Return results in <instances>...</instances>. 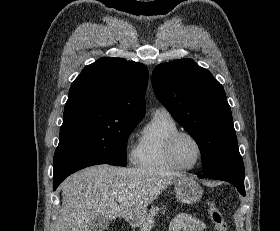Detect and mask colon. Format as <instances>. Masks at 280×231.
<instances>
[{
	"label": "colon",
	"instance_id": "5ec220e1",
	"mask_svg": "<svg viewBox=\"0 0 280 231\" xmlns=\"http://www.w3.org/2000/svg\"><path fill=\"white\" fill-rule=\"evenodd\" d=\"M210 218L215 226L216 231H228L227 223L218 206L213 202L207 203Z\"/></svg>",
	"mask_w": 280,
	"mask_h": 231
}]
</instances>
